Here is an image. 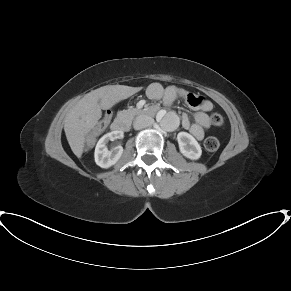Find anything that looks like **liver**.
<instances>
[{"label":"liver","instance_id":"6515ba94","mask_svg":"<svg viewBox=\"0 0 291 291\" xmlns=\"http://www.w3.org/2000/svg\"><path fill=\"white\" fill-rule=\"evenodd\" d=\"M140 90L139 87L124 85L103 86L86 94L70 109L64 120V131L71 150L78 158L84 150L85 135L102 116L101 109L111 108Z\"/></svg>","mask_w":291,"mask_h":291}]
</instances>
